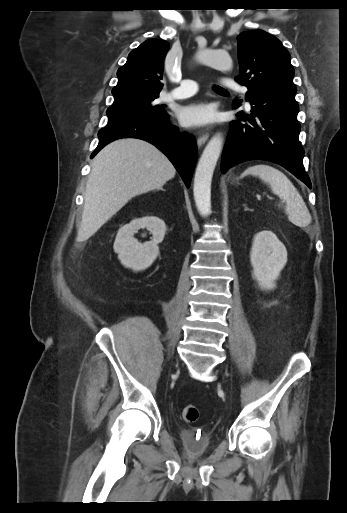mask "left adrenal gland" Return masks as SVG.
Here are the masks:
<instances>
[{"instance_id":"obj_1","label":"left adrenal gland","mask_w":347,"mask_h":513,"mask_svg":"<svg viewBox=\"0 0 347 513\" xmlns=\"http://www.w3.org/2000/svg\"><path fill=\"white\" fill-rule=\"evenodd\" d=\"M243 206H244V208H245V209H244L245 211L249 210L246 204H243Z\"/></svg>"}]
</instances>
